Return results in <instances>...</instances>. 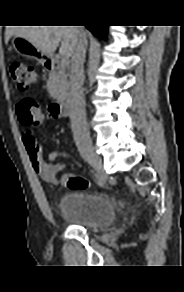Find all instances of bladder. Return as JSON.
Segmentation results:
<instances>
[{
  "label": "bladder",
  "instance_id": "1",
  "mask_svg": "<svg viewBox=\"0 0 184 292\" xmlns=\"http://www.w3.org/2000/svg\"><path fill=\"white\" fill-rule=\"evenodd\" d=\"M58 211L72 225L87 230L106 227L116 218V207L110 198L83 189L66 193L58 203Z\"/></svg>",
  "mask_w": 184,
  "mask_h": 292
}]
</instances>
